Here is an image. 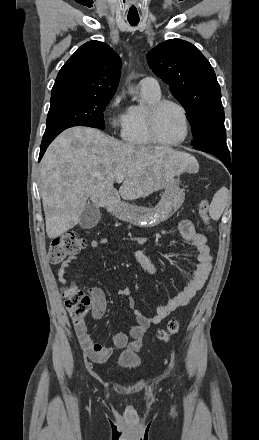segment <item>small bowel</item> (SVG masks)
<instances>
[{
	"mask_svg": "<svg viewBox=\"0 0 259 440\" xmlns=\"http://www.w3.org/2000/svg\"><path fill=\"white\" fill-rule=\"evenodd\" d=\"M178 230L182 239L193 249L194 261L196 263L195 269L189 271V279L183 288L168 302L157 306L155 314L152 316L145 315L140 310L136 309L135 301L131 296L130 289L123 288L118 291L119 295L127 297L128 307L135 315L137 323L129 331L119 332L113 335V343L117 348L129 347L132 350L140 349L143 336L148 328L153 324L161 322L177 308L187 305L207 280L212 269L213 258L206 237L203 234L198 233L192 221L188 219H184L178 224ZM108 241V237H101L93 239L90 242V245L93 248H97L108 243ZM121 241L140 243L143 241V238L122 237ZM134 257L137 263L148 275L157 274V266L144 252L137 251L135 252ZM74 260L75 256H71L60 264L58 269V278L60 282L66 281L67 270ZM92 294L95 298L93 316L95 319H101L106 312L104 295L98 289H93ZM75 332L82 349L91 360L95 362H104L112 355V348L105 347L92 339L84 322L75 325Z\"/></svg>",
	"mask_w": 259,
	"mask_h": 440,
	"instance_id": "small-bowel-1",
	"label": "small bowel"
}]
</instances>
